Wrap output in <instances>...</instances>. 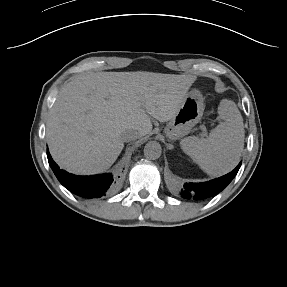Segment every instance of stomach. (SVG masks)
<instances>
[{
  "label": "stomach",
  "mask_w": 287,
  "mask_h": 287,
  "mask_svg": "<svg viewBox=\"0 0 287 287\" xmlns=\"http://www.w3.org/2000/svg\"><path fill=\"white\" fill-rule=\"evenodd\" d=\"M204 103L199 91L192 90L185 97L177 114L166 125L164 132L171 140L187 135L202 118Z\"/></svg>",
  "instance_id": "stomach-1"
}]
</instances>
